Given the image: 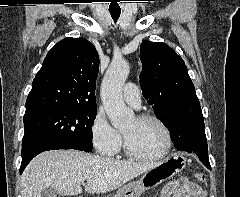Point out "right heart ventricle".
I'll return each instance as SVG.
<instances>
[{"label":"right heart ventricle","mask_w":240,"mask_h":197,"mask_svg":"<svg viewBox=\"0 0 240 197\" xmlns=\"http://www.w3.org/2000/svg\"><path fill=\"white\" fill-rule=\"evenodd\" d=\"M120 148H119V150L115 153V155H117V156H119L120 155Z\"/></svg>","instance_id":"e07e8e85"}]
</instances>
